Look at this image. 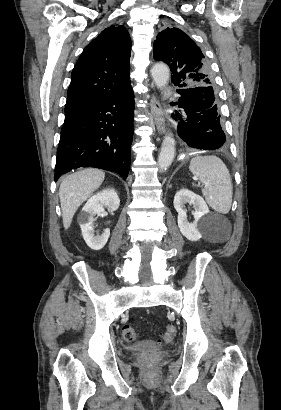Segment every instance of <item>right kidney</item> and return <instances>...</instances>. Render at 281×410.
<instances>
[{
  "label": "right kidney",
  "mask_w": 281,
  "mask_h": 410,
  "mask_svg": "<svg viewBox=\"0 0 281 410\" xmlns=\"http://www.w3.org/2000/svg\"><path fill=\"white\" fill-rule=\"evenodd\" d=\"M120 199L113 189H106L93 195L82 208L78 217L83 238L86 244L93 250L102 249L108 241L110 230L104 229L102 234H94L95 215L104 212V207L112 211L119 208Z\"/></svg>",
  "instance_id": "1"
}]
</instances>
